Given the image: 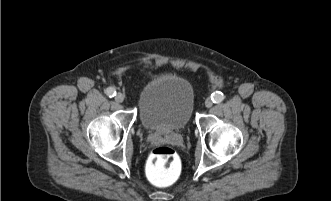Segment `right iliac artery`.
I'll use <instances>...</instances> for the list:
<instances>
[{
	"label": "right iliac artery",
	"instance_id": "right-iliac-artery-1",
	"mask_svg": "<svg viewBox=\"0 0 331 201\" xmlns=\"http://www.w3.org/2000/svg\"><path fill=\"white\" fill-rule=\"evenodd\" d=\"M105 93L112 98L116 95V90L113 87H109L105 90Z\"/></svg>",
	"mask_w": 331,
	"mask_h": 201
}]
</instances>
